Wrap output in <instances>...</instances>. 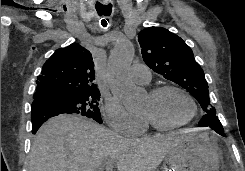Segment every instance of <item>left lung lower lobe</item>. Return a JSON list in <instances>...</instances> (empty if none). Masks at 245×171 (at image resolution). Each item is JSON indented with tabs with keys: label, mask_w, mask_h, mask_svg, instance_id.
I'll list each match as a JSON object with an SVG mask.
<instances>
[{
	"label": "left lung lower lobe",
	"mask_w": 245,
	"mask_h": 171,
	"mask_svg": "<svg viewBox=\"0 0 245 171\" xmlns=\"http://www.w3.org/2000/svg\"><path fill=\"white\" fill-rule=\"evenodd\" d=\"M198 125L200 127H210L212 130L216 131L218 134L222 136H226L224 134L222 124L216 115L205 114L203 118L199 121Z\"/></svg>",
	"instance_id": "left-lung-lower-lobe-1"
}]
</instances>
